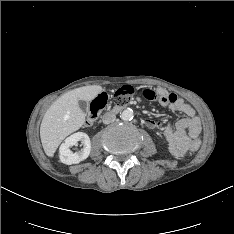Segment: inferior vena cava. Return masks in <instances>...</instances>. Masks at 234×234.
<instances>
[{
    "instance_id": "1",
    "label": "inferior vena cava",
    "mask_w": 234,
    "mask_h": 234,
    "mask_svg": "<svg viewBox=\"0 0 234 234\" xmlns=\"http://www.w3.org/2000/svg\"><path fill=\"white\" fill-rule=\"evenodd\" d=\"M103 123L104 124H109L112 123L116 120V115L112 112H107L103 115Z\"/></svg>"
}]
</instances>
